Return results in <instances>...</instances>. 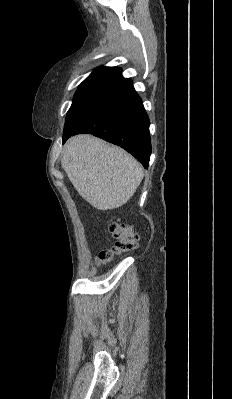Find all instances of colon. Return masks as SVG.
I'll use <instances>...</instances> for the list:
<instances>
[{"label": "colon", "instance_id": "obj_1", "mask_svg": "<svg viewBox=\"0 0 232 399\" xmlns=\"http://www.w3.org/2000/svg\"><path fill=\"white\" fill-rule=\"evenodd\" d=\"M98 221H107V216H103V210H98ZM128 223H121V220H116V226L112 222L108 223V232L112 233V251L105 250L96 255V262L100 263L105 260H112L113 253L120 251L121 255L125 251H137V232L128 228Z\"/></svg>", "mask_w": 232, "mask_h": 399}]
</instances>
